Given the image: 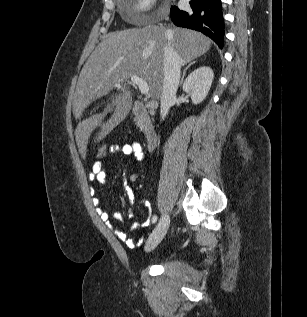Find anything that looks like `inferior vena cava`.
<instances>
[{"label":"inferior vena cava","mask_w":307,"mask_h":317,"mask_svg":"<svg viewBox=\"0 0 307 317\" xmlns=\"http://www.w3.org/2000/svg\"><path fill=\"white\" fill-rule=\"evenodd\" d=\"M171 31H167V36ZM164 79L161 92V110L160 115L162 119L166 117L170 107L176 99V93L179 86L182 60L168 43L164 48Z\"/></svg>","instance_id":"1"}]
</instances>
